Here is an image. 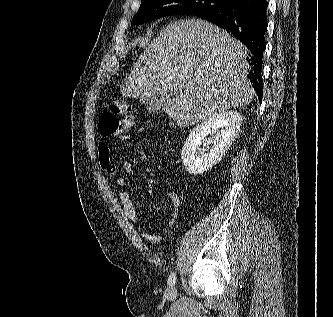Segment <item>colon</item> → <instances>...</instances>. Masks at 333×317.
Here are the masks:
<instances>
[{"label": "colon", "mask_w": 333, "mask_h": 317, "mask_svg": "<svg viewBox=\"0 0 333 317\" xmlns=\"http://www.w3.org/2000/svg\"><path fill=\"white\" fill-rule=\"evenodd\" d=\"M134 124L131 108L121 102L109 106L100 116L99 131L105 137L123 134Z\"/></svg>", "instance_id": "colon-1"}]
</instances>
